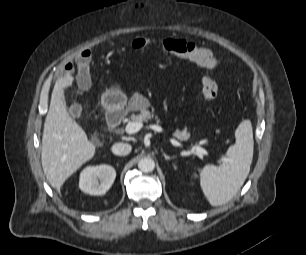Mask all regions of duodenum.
<instances>
[{"instance_id":"1","label":"duodenum","mask_w":306,"mask_h":255,"mask_svg":"<svg viewBox=\"0 0 306 255\" xmlns=\"http://www.w3.org/2000/svg\"><path fill=\"white\" fill-rule=\"evenodd\" d=\"M125 112H126L125 106L112 108L107 111L106 120L111 130L116 129L120 125V123L122 122L125 116Z\"/></svg>"}]
</instances>
